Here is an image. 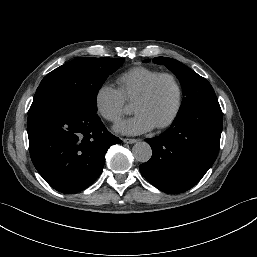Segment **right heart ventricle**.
Masks as SVG:
<instances>
[{
    "label": "right heart ventricle",
    "instance_id": "obj_1",
    "mask_svg": "<svg viewBox=\"0 0 257 257\" xmlns=\"http://www.w3.org/2000/svg\"><path fill=\"white\" fill-rule=\"evenodd\" d=\"M159 74V70L147 67L131 68L117 77L118 90L126 101L133 102L145 86Z\"/></svg>",
    "mask_w": 257,
    "mask_h": 257
}]
</instances>
